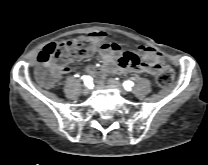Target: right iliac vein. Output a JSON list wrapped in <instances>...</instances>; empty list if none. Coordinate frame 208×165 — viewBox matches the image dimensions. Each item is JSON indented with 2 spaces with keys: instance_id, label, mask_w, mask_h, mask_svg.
<instances>
[{
  "instance_id": "right-iliac-vein-1",
  "label": "right iliac vein",
  "mask_w": 208,
  "mask_h": 165,
  "mask_svg": "<svg viewBox=\"0 0 208 165\" xmlns=\"http://www.w3.org/2000/svg\"><path fill=\"white\" fill-rule=\"evenodd\" d=\"M90 88L89 87H85L84 89H83V94L84 95H88L89 93H90Z\"/></svg>"
}]
</instances>
